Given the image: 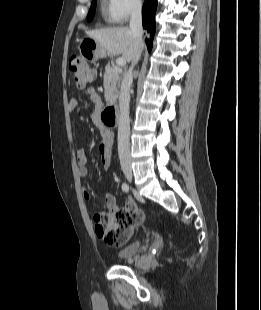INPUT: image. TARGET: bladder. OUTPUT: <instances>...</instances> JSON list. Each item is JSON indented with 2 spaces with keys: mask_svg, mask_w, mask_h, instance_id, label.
<instances>
[{
  "mask_svg": "<svg viewBox=\"0 0 261 310\" xmlns=\"http://www.w3.org/2000/svg\"><path fill=\"white\" fill-rule=\"evenodd\" d=\"M141 246L138 240L129 242L115 252V257L119 260L132 259L140 251Z\"/></svg>",
  "mask_w": 261,
  "mask_h": 310,
  "instance_id": "31cf9c89",
  "label": "bladder"
}]
</instances>
